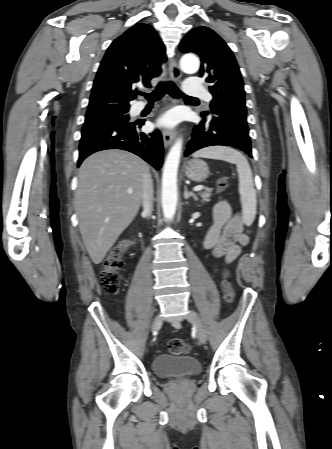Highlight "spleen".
Wrapping results in <instances>:
<instances>
[{
	"label": "spleen",
	"mask_w": 332,
	"mask_h": 449,
	"mask_svg": "<svg viewBox=\"0 0 332 449\" xmlns=\"http://www.w3.org/2000/svg\"><path fill=\"white\" fill-rule=\"evenodd\" d=\"M193 157L223 160L233 163L237 167L239 178V194L242 204L243 222L250 226L256 216V191L254 189L252 171L247 159L238 151L230 147H209L193 154Z\"/></svg>",
	"instance_id": "3e777b00"
}]
</instances>
